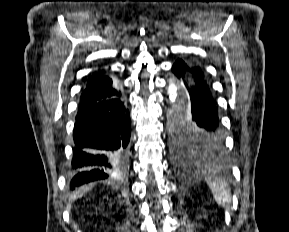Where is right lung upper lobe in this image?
<instances>
[{
  "label": "right lung upper lobe",
  "instance_id": "cb5924a9",
  "mask_svg": "<svg viewBox=\"0 0 289 232\" xmlns=\"http://www.w3.org/2000/svg\"><path fill=\"white\" fill-rule=\"evenodd\" d=\"M121 91L111 78L99 71L87 81V87L82 93L80 103H88L111 98Z\"/></svg>",
  "mask_w": 289,
  "mask_h": 232
}]
</instances>
